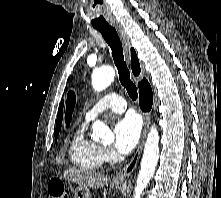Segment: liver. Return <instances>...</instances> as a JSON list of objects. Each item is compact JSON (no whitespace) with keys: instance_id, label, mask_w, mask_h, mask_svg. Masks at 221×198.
<instances>
[{"instance_id":"1","label":"liver","mask_w":221,"mask_h":198,"mask_svg":"<svg viewBox=\"0 0 221 198\" xmlns=\"http://www.w3.org/2000/svg\"><path fill=\"white\" fill-rule=\"evenodd\" d=\"M61 178L72 181L79 186L94 189L102 188L108 181V178L105 175L74 168L66 170Z\"/></svg>"}]
</instances>
